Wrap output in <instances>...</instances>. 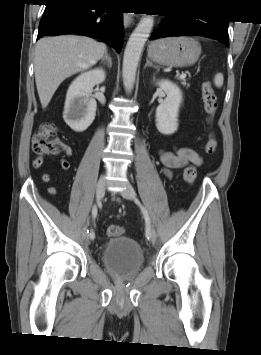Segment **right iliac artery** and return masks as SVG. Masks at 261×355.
<instances>
[{
  "instance_id": "right-iliac-artery-1",
  "label": "right iliac artery",
  "mask_w": 261,
  "mask_h": 355,
  "mask_svg": "<svg viewBox=\"0 0 261 355\" xmlns=\"http://www.w3.org/2000/svg\"><path fill=\"white\" fill-rule=\"evenodd\" d=\"M97 213H98L97 206H96V205H94V206H93V209H92V218H93V219H95V218H96ZM87 233L89 234V237H90L91 239H94V237H95V233H94V231H93V230H86V234H87Z\"/></svg>"
}]
</instances>
